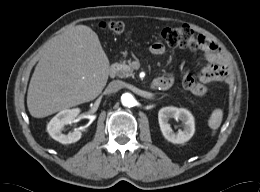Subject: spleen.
Here are the masks:
<instances>
[{
  "label": "spleen",
  "mask_w": 260,
  "mask_h": 192,
  "mask_svg": "<svg viewBox=\"0 0 260 192\" xmlns=\"http://www.w3.org/2000/svg\"><path fill=\"white\" fill-rule=\"evenodd\" d=\"M222 119H223V112H222V110L221 109H215L212 112V114H211V116H210V118L208 120L209 127L213 131L217 130L219 128V126L221 125V123H222Z\"/></svg>",
  "instance_id": "spleen-1"
}]
</instances>
